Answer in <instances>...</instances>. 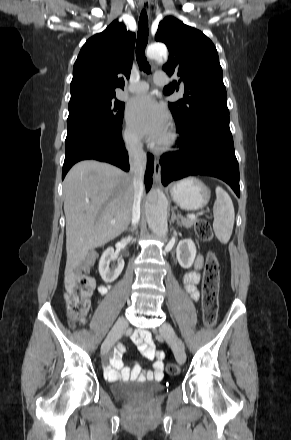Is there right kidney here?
I'll list each match as a JSON object with an SVG mask.
<instances>
[{
    "label": "right kidney",
    "instance_id": "obj_1",
    "mask_svg": "<svg viewBox=\"0 0 291 440\" xmlns=\"http://www.w3.org/2000/svg\"><path fill=\"white\" fill-rule=\"evenodd\" d=\"M124 268V260L114 252L112 247L107 248L99 261V273L105 282H112L118 278Z\"/></svg>",
    "mask_w": 291,
    "mask_h": 440
}]
</instances>
